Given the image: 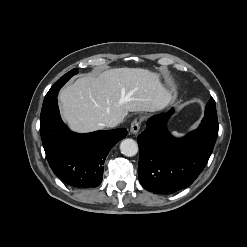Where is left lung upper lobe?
<instances>
[{
    "label": "left lung upper lobe",
    "mask_w": 247,
    "mask_h": 247,
    "mask_svg": "<svg viewBox=\"0 0 247 247\" xmlns=\"http://www.w3.org/2000/svg\"><path fill=\"white\" fill-rule=\"evenodd\" d=\"M202 122L218 128V119H217V112H216V105L213 98L209 100L205 108V116L202 119Z\"/></svg>",
    "instance_id": "1"
}]
</instances>
